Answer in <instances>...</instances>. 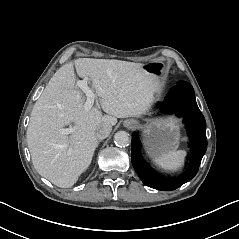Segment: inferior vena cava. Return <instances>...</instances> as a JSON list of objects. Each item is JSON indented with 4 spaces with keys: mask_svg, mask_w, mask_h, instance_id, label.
Returning a JSON list of instances; mask_svg holds the SVG:
<instances>
[{
    "mask_svg": "<svg viewBox=\"0 0 239 239\" xmlns=\"http://www.w3.org/2000/svg\"><path fill=\"white\" fill-rule=\"evenodd\" d=\"M112 130V126L109 124H103L96 129L95 136L97 139L102 140L109 136Z\"/></svg>",
    "mask_w": 239,
    "mask_h": 239,
    "instance_id": "inferior-vena-cava-1",
    "label": "inferior vena cava"
}]
</instances>
